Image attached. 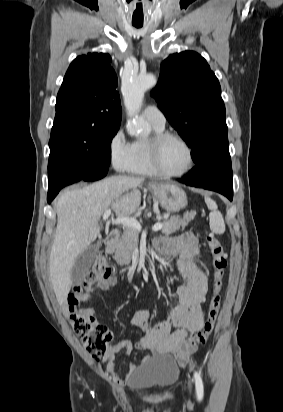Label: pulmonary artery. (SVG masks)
Listing matches in <instances>:
<instances>
[{
	"instance_id": "pulmonary-artery-1",
	"label": "pulmonary artery",
	"mask_w": 283,
	"mask_h": 412,
	"mask_svg": "<svg viewBox=\"0 0 283 412\" xmlns=\"http://www.w3.org/2000/svg\"><path fill=\"white\" fill-rule=\"evenodd\" d=\"M143 118L159 127H164L166 123V118L163 112L155 105H148L142 112Z\"/></svg>"
}]
</instances>
